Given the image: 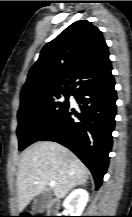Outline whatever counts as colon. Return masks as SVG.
I'll use <instances>...</instances> for the list:
<instances>
[{"instance_id":"colon-1","label":"colon","mask_w":132,"mask_h":217,"mask_svg":"<svg viewBox=\"0 0 132 217\" xmlns=\"http://www.w3.org/2000/svg\"><path fill=\"white\" fill-rule=\"evenodd\" d=\"M23 217H32V216H23Z\"/></svg>"}]
</instances>
